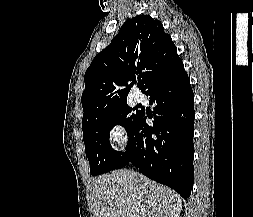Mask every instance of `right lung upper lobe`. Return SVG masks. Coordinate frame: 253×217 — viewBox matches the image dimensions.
Returning <instances> with one entry per match:
<instances>
[{"label":"right lung upper lobe","instance_id":"1","mask_svg":"<svg viewBox=\"0 0 253 217\" xmlns=\"http://www.w3.org/2000/svg\"><path fill=\"white\" fill-rule=\"evenodd\" d=\"M179 61L177 48L160 21L147 15L127 20L86 70L81 98L82 124L126 102L130 86L137 77L145 93L153 81L168 73Z\"/></svg>","mask_w":253,"mask_h":217}]
</instances>
